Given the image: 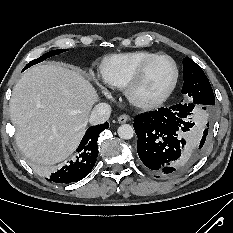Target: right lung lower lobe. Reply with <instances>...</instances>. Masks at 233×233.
I'll list each match as a JSON object with an SVG mask.
<instances>
[{
	"mask_svg": "<svg viewBox=\"0 0 233 233\" xmlns=\"http://www.w3.org/2000/svg\"><path fill=\"white\" fill-rule=\"evenodd\" d=\"M109 128V124L92 126L87 129L82 141L76 149V154L67 165L52 173L49 181L57 183L77 182L86 177L93 169L98 156L97 140L99 134Z\"/></svg>",
	"mask_w": 233,
	"mask_h": 233,
	"instance_id": "obj_1",
	"label": "right lung lower lobe"
}]
</instances>
